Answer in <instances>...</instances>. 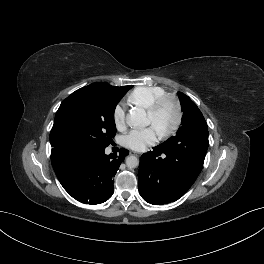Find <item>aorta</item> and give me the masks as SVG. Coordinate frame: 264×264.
I'll return each instance as SVG.
<instances>
[{"label":"aorta","instance_id":"1","mask_svg":"<svg viewBox=\"0 0 264 264\" xmlns=\"http://www.w3.org/2000/svg\"><path fill=\"white\" fill-rule=\"evenodd\" d=\"M126 121L131 127H145L148 125L146 112L141 108L132 109L127 115ZM126 165L129 168H136L139 165V160L135 156H128Z\"/></svg>","mask_w":264,"mask_h":264}]
</instances>
